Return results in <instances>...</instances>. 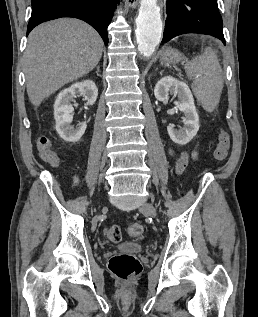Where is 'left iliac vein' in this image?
<instances>
[{"label": "left iliac vein", "mask_w": 258, "mask_h": 317, "mask_svg": "<svg viewBox=\"0 0 258 317\" xmlns=\"http://www.w3.org/2000/svg\"><path fill=\"white\" fill-rule=\"evenodd\" d=\"M140 212H144L149 217H155L156 207L150 202H144L140 207Z\"/></svg>", "instance_id": "4c4485c4"}]
</instances>
